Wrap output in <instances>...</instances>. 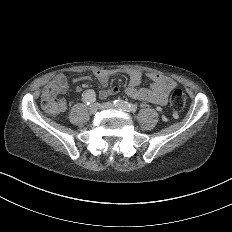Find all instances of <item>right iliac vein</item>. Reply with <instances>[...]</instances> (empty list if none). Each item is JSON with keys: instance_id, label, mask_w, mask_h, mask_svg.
Returning <instances> with one entry per match:
<instances>
[{"instance_id": "right-iliac-vein-1", "label": "right iliac vein", "mask_w": 232, "mask_h": 232, "mask_svg": "<svg viewBox=\"0 0 232 232\" xmlns=\"http://www.w3.org/2000/svg\"><path fill=\"white\" fill-rule=\"evenodd\" d=\"M89 110H90V113H91V114H96V113H98V112H97V104H96V103L91 104L90 107H89Z\"/></svg>"}]
</instances>
